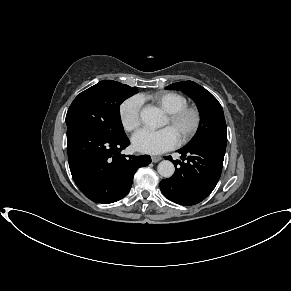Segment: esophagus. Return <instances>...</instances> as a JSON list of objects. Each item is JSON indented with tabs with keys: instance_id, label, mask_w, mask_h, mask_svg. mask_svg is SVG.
<instances>
[{
	"instance_id": "1",
	"label": "esophagus",
	"mask_w": 291,
	"mask_h": 291,
	"mask_svg": "<svg viewBox=\"0 0 291 291\" xmlns=\"http://www.w3.org/2000/svg\"><path fill=\"white\" fill-rule=\"evenodd\" d=\"M161 159H162L161 156H152L151 157V160L153 163H156V162L160 161Z\"/></svg>"
}]
</instances>
